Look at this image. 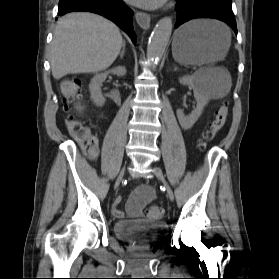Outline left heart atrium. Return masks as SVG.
Returning <instances> with one entry per match:
<instances>
[{
	"instance_id": "left-heart-atrium-1",
	"label": "left heart atrium",
	"mask_w": 279,
	"mask_h": 279,
	"mask_svg": "<svg viewBox=\"0 0 279 279\" xmlns=\"http://www.w3.org/2000/svg\"><path fill=\"white\" fill-rule=\"evenodd\" d=\"M127 2L145 8H158L162 6L166 0H126Z\"/></svg>"
}]
</instances>
